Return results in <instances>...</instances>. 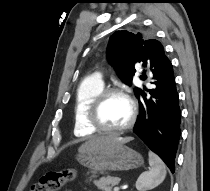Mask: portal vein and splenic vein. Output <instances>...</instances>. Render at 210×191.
I'll return each instance as SVG.
<instances>
[{
  "label": "portal vein and splenic vein",
  "instance_id": "1",
  "mask_svg": "<svg viewBox=\"0 0 210 191\" xmlns=\"http://www.w3.org/2000/svg\"><path fill=\"white\" fill-rule=\"evenodd\" d=\"M120 189H119V187H115L114 189H113V191H119Z\"/></svg>",
  "mask_w": 210,
  "mask_h": 191
}]
</instances>
